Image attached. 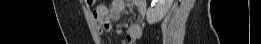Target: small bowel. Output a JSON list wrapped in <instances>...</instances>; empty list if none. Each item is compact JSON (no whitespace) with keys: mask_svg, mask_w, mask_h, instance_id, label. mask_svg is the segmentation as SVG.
<instances>
[{"mask_svg":"<svg viewBox=\"0 0 261 44\" xmlns=\"http://www.w3.org/2000/svg\"><path fill=\"white\" fill-rule=\"evenodd\" d=\"M127 5V1L114 0L109 5H99L94 11V20L96 22L98 31L100 33L110 32L112 29V22L118 20L121 12ZM134 5L138 11L143 14L145 11V4L143 1H134ZM106 17V18H103ZM142 29L137 23H132L126 33V43L134 44L141 37Z\"/></svg>","mask_w":261,"mask_h":44,"instance_id":"c3829d8e","label":"small bowel"}]
</instances>
